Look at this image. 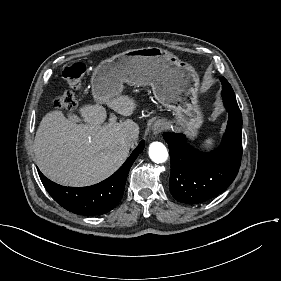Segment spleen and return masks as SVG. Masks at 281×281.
I'll return each instance as SVG.
<instances>
[{"instance_id": "obj_1", "label": "spleen", "mask_w": 281, "mask_h": 281, "mask_svg": "<svg viewBox=\"0 0 281 281\" xmlns=\"http://www.w3.org/2000/svg\"><path fill=\"white\" fill-rule=\"evenodd\" d=\"M213 144H214V140L212 139V138H208V139H206L205 141H204V143L202 144V146L204 147V148H211L212 146H213Z\"/></svg>"}]
</instances>
